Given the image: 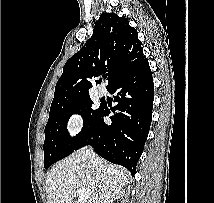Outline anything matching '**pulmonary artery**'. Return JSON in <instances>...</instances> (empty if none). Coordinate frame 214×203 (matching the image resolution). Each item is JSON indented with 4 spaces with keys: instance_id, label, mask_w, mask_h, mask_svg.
Masks as SVG:
<instances>
[{
    "instance_id": "pulmonary-artery-1",
    "label": "pulmonary artery",
    "mask_w": 214,
    "mask_h": 203,
    "mask_svg": "<svg viewBox=\"0 0 214 203\" xmlns=\"http://www.w3.org/2000/svg\"><path fill=\"white\" fill-rule=\"evenodd\" d=\"M105 94H106L105 88L100 87V88L98 89V95H99L100 97H103Z\"/></svg>"
}]
</instances>
